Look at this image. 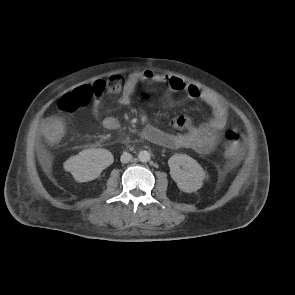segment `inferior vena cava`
Masks as SVG:
<instances>
[{
    "label": "inferior vena cava",
    "instance_id": "obj_1",
    "mask_svg": "<svg viewBox=\"0 0 295 295\" xmlns=\"http://www.w3.org/2000/svg\"><path fill=\"white\" fill-rule=\"evenodd\" d=\"M132 159V155L129 153H123L121 155L120 161L122 163H128Z\"/></svg>",
    "mask_w": 295,
    "mask_h": 295
}]
</instances>
